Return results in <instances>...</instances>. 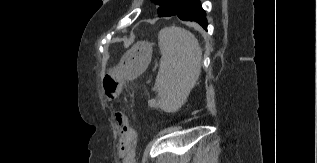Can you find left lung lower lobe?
I'll list each match as a JSON object with an SVG mask.
<instances>
[{
	"label": "left lung lower lobe",
	"mask_w": 317,
	"mask_h": 163,
	"mask_svg": "<svg viewBox=\"0 0 317 163\" xmlns=\"http://www.w3.org/2000/svg\"><path fill=\"white\" fill-rule=\"evenodd\" d=\"M173 15L185 21H195L207 30L206 14L199 0H184L178 10L171 16Z\"/></svg>",
	"instance_id": "obj_1"
}]
</instances>
